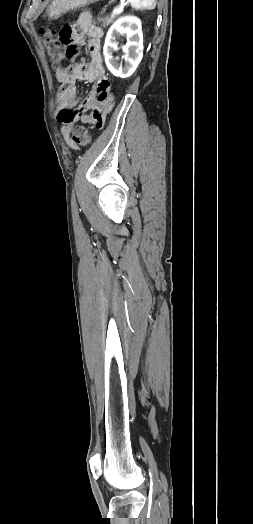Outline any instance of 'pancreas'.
I'll return each instance as SVG.
<instances>
[{
	"instance_id": "obj_1",
	"label": "pancreas",
	"mask_w": 253,
	"mask_h": 524,
	"mask_svg": "<svg viewBox=\"0 0 253 524\" xmlns=\"http://www.w3.org/2000/svg\"><path fill=\"white\" fill-rule=\"evenodd\" d=\"M115 19V16H100L98 22L101 23L102 27L109 26Z\"/></svg>"
}]
</instances>
